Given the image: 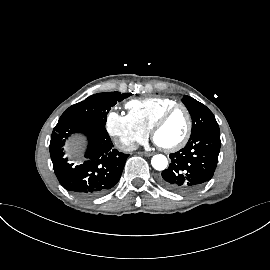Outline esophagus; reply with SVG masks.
<instances>
[{"instance_id":"esophagus-1","label":"esophagus","mask_w":270,"mask_h":270,"mask_svg":"<svg viewBox=\"0 0 270 270\" xmlns=\"http://www.w3.org/2000/svg\"><path fill=\"white\" fill-rule=\"evenodd\" d=\"M143 154L145 155V156H152L153 155V153H151V152H143Z\"/></svg>"}]
</instances>
